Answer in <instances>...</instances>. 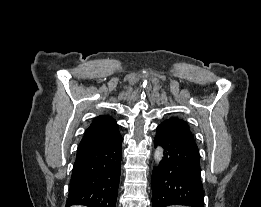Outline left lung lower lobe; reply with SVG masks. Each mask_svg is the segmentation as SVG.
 I'll list each match as a JSON object with an SVG mask.
<instances>
[{
    "mask_svg": "<svg viewBox=\"0 0 261 207\" xmlns=\"http://www.w3.org/2000/svg\"><path fill=\"white\" fill-rule=\"evenodd\" d=\"M154 145L163 148L164 157L152 173V207H204L200 154L179 127L163 121L156 128Z\"/></svg>",
    "mask_w": 261,
    "mask_h": 207,
    "instance_id": "obj_1",
    "label": "left lung lower lobe"
}]
</instances>
